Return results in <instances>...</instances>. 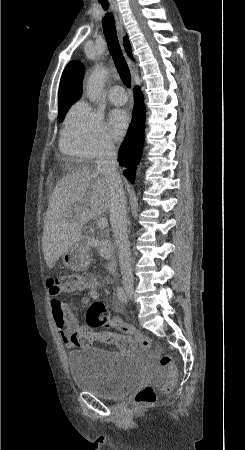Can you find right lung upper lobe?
Returning <instances> with one entry per match:
<instances>
[{
  "mask_svg": "<svg viewBox=\"0 0 245 450\" xmlns=\"http://www.w3.org/2000/svg\"><path fill=\"white\" fill-rule=\"evenodd\" d=\"M124 45L130 51L131 47L127 36L124 37ZM84 73L85 68L78 61H72L66 66L59 86V108L67 104H73L80 99Z\"/></svg>",
  "mask_w": 245,
  "mask_h": 450,
  "instance_id": "1",
  "label": "right lung upper lobe"
}]
</instances>
